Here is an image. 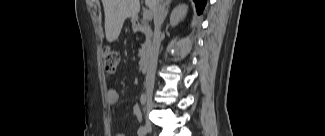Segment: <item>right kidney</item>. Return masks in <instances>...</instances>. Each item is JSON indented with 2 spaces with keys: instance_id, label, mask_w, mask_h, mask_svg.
Returning <instances> with one entry per match:
<instances>
[{
  "instance_id": "right-kidney-1",
  "label": "right kidney",
  "mask_w": 325,
  "mask_h": 136,
  "mask_svg": "<svg viewBox=\"0 0 325 136\" xmlns=\"http://www.w3.org/2000/svg\"><path fill=\"white\" fill-rule=\"evenodd\" d=\"M187 6L182 4L177 6L171 13L170 24L171 26H176L180 20H182L187 12Z\"/></svg>"
}]
</instances>
